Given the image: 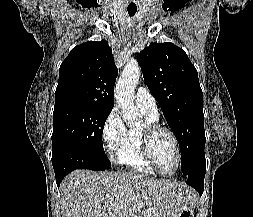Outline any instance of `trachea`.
<instances>
[{
	"label": "trachea",
	"instance_id": "trachea-1",
	"mask_svg": "<svg viewBox=\"0 0 253 217\" xmlns=\"http://www.w3.org/2000/svg\"><path fill=\"white\" fill-rule=\"evenodd\" d=\"M127 11H128L129 16H134L135 13L137 12V8L136 9L135 8H128Z\"/></svg>",
	"mask_w": 253,
	"mask_h": 217
}]
</instances>
